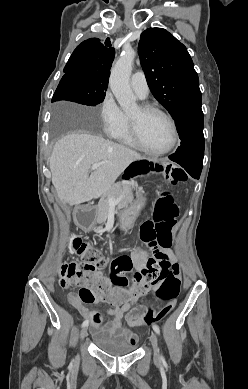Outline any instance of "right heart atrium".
I'll return each mask as SVG.
<instances>
[{"mask_svg":"<svg viewBox=\"0 0 248 389\" xmlns=\"http://www.w3.org/2000/svg\"><path fill=\"white\" fill-rule=\"evenodd\" d=\"M99 117L103 131L114 136L121 128L124 121V113L118 106L111 92H106L99 106Z\"/></svg>","mask_w":248,"mask_h":389,"instance_id":"obj_1","label":"right heart atrium"}]
</instances>
